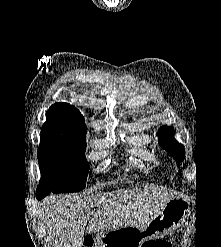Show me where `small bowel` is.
I'll return each instance as SVG.
<instances>
[{
    "mask_svg": "<svg viewBox=\"0 0 221 247\" xmlns=\"http://www.w3.org/2000/svg\"><path fill=\"white\" fill-rule=\"evenodd\" d=\"M151 242H153V243H162V242H164V240H152Z\"/></svg>",
    "mask_w": 221,
    "mask_h": 247,
    "instance_id": "1",
    "label": "small bowel"
}]
</instances>
